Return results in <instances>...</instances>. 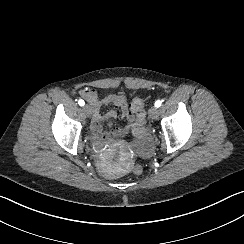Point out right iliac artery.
<instances>
[{"mask_svg":"<svg viewBox=\"0 0 244 244\" xmlns=\"http://www.w3.org/2000/svg\"><path fill=\"white\" fill-rule=\"evenodd\" d=\"M78 104H79L80 106H84L85 102H84V100L80 99V100L78 101Z\"/></svg>","mask_w":244,"mask_h":244,"instance_id":"right-iliac-artery-1","label":"right iliac artery"}]
</instances>
